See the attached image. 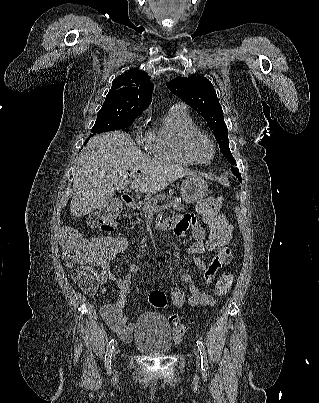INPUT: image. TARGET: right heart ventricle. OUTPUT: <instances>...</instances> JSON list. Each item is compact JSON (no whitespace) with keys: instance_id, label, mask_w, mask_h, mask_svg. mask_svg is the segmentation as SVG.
<instances>
[{"instance_id":"obj_1","label":"right heart ventricle","mask_w":319,"mask_h":403,"mask_svg":"<svg viewBox=\"0 0 319 403\" xmlns=\"http://www.w3.org/2000/svg\"><path fill=\"white\" fill-rule=\"evenodd\" d=\"M197 128L186 107L176 104L170 107L151 131L150 154L163 161L180 164H196L182 148L184 134Z\"/></svg>"}]
</instances>
